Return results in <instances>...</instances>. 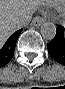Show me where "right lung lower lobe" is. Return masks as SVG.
Returning a JSON list of instances; mask_svg holds the SVG:
<instances>
[{
	"mask_svg": "<svg viewBox=\"0 0 65 89\" xmlns=\"http://www.w3.org/2000/svg\"><path fill=\"white\" fill-rule=\"evenodd\" d=\"M22 29L15 32L5 44L0 45V67L5 66L13 57L16 42Z\"/></svg>",
	"mask_w": 65,
	"mask_h": 89,
	"instance_id": "1",
	"label": "right lung lower lobe"
}]
</instances>
